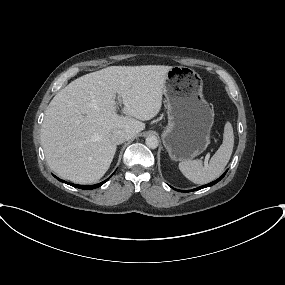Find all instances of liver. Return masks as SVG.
<instances>
[{
  "mask_svg": "<svg viewBox=\"0 0 285 285\" xmlns=\"http://www.w3.org/2000/svg\"><path fill=\"white\" fill-rule=\"evenodd\" d=\"M171 66H110L81 76L51 100L41 126L46 161L59 176L79 184L98 181L109 169L117 144L114 130L134 137L162 105ZM123 103L127 116L117 114Z\"/></svg>",
  "mask_w": 285,
  "mask_h": 285,
  "instance_id": "1",
  "label": "liver"
}]
</instances>
